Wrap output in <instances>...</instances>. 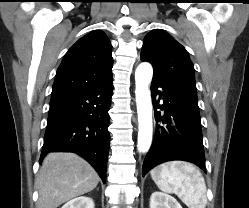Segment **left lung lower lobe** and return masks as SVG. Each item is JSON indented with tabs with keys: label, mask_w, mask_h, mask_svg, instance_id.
Listing matches in <instances>:
<instances>
[{
	"label": "left lung lower lobe",
	"mask_w": 249,
	"mask_h": 208,
	"mask_svg": "<svg viewBox=\"0 0 249 208\" xmlns=\"http://www.w3.org/2000/svg\"><path fill=\"white\" fill-rule=\"evenodd\" d=\"M151 92L154 116L160 124L156 125L155 139L144 160L142 176L153 167L172 160L189 161L206 171L197 95L157 76H153Z\"/></svg>",
	"instance_id": "left-lung-lower-lobe-1"
}]
</instances>
